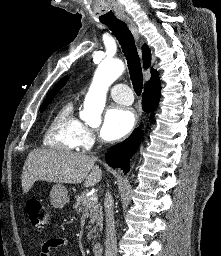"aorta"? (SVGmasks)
Here are the masks:
<instances>
[{"label": "aorta", "mask_w": 221, "mask_h": 256, "mask_svg": "<svg viewBox=\"0 0 221 256\" xmlns=\"http://www.w3.org/2000/svg\"><path fill=\"white\" fill-rule=\"evenodd\" d=\"M124 63L119 59L104 60L98 66L84 101L81 116L88 121L100 120L110 85L123 73Z\"/></svg>", "instance_id": "aorta-1"}]
</instances>
